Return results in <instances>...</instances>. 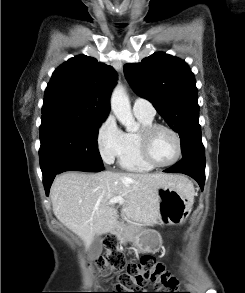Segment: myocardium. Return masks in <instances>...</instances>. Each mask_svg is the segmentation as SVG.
<instances>
[{
    "mask_svg": "<svg viewBox=\"0 0 245 293\" xmlns=\"http://www.w3.org/2000/svg\"><path fill=\"white\" fill-rule=\"evenodd\" d=\"M158 129H165L168 132H170L176 142V147H177L176 154H175L174 158L167 163L156 162L150 154L151 138H152L153 134ZM138 141H139V151H140V154H141L143 160L154 168L169 167V166L175 164L181 157V153H182L181 137H180L179 133L169 125L154 123L149 126L141 128V130L138 133Z\"/></svg>",
    "mask_w": 245,
    "mask_h": 293,
    "instance_id": "myocardium-1",
    "label": "myocardium"
}]
</instances>
